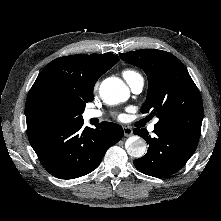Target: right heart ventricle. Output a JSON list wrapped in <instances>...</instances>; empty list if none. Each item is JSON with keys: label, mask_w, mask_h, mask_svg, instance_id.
<instances>
[{"label": "right heart ventricle", "mask_w": 221, "mask_h": 221, "mask_svg": "<svg viewBox=\"0 0 221 221\" xmlns=\"http://www.w3.org/2000/svg\"><path fill=\"white\" fill-rule=\"evenodd\" d=\"M122 74L123 77L127 80V82H130L137 76H139V74L136 71L130 69L124 70Z\"/></svg>", "instance_id": "right-heart-ventricle-1"}]
</instances>
